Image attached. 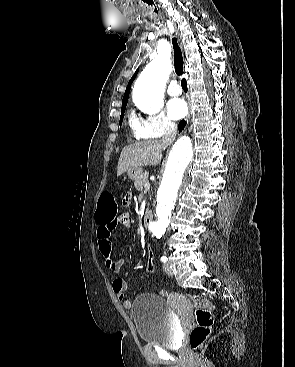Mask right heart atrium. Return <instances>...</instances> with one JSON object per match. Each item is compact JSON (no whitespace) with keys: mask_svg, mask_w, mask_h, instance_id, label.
Listing matches in <instances>:
<instances>
[{"mask_svg":"<svg viewBox=\"0 0 295 367\" xmlns=\"http://www.w3.org/2000/svg\"><path fill=\"white\" fill-rule=\"evenodd\" d=\"M131 126L138 138H159L176 131V124L161 110L135 118Z\"/></svg>","mask_w":295,"mask_h":367,"instance_id":"1","label":"right heart atrium"}]
</instances>
